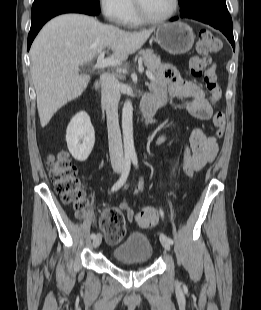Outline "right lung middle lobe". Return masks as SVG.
Listing matches in <instances>:
<instances>
[{
    "label": "right lung middle lobe",
    "mask_w": 261,
    "mask_h": 310,
    "mask_svg": "<svg viewBox=\"0 0 261 310\" xmlns=\"http://www.w3.org/2000/svg\"><path fill=\"white\" fill-rule=\"evenodd\" d=\"M54 1H73V2H81L86 4H91L94 6L99 7V0H34V3L32 5V9H35L43 4L54 2Z\"/></svg>",
    "instance_id": "right-lung-middle-lobe-1"
}]
</instances>
